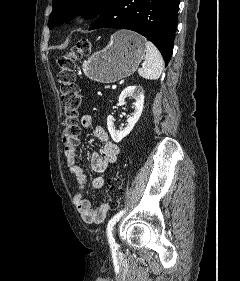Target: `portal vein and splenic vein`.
I'll return each instance as SVG.
<instances>
[{
  "label": "portal vein and splenic vein",
  "instance_id": "18ae733b",
  "mask_svg": "<svg viewBox=\"0 0 240 281\" xmlns=\"http://www.w3.org/2000/svg\"><path fill=\"white\" fill-rule=\"evenodd\" d=\"M116 88H117V86H116V85H113V86H112V89H113V90H115Z\"/></svg>",
  "mask_w": 240,
  "mask_h": 281
}]
</instances>
